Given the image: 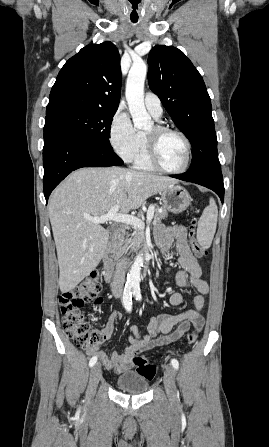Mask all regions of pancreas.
Masks as SVG:
<instances>
[{
	"mask_svg": "<svg viewBox=\"0 0 269 447\" xmlns=\"http://www.w3.org/2000/svg\"><path fill=\"white\" fill-rule=\"evenodd\" d=\"M158 208L159 206H155V222H161V220L167 218V210H165L164 206L161 208L162 212H158ZM138 216L141 218V216H143V212H140ZM132 235L133 237H129V239H127V237H122V239H120L117 247V257H122L123 253H126L129 247H131V249H137V247H140L144 239V231H140V229H138V231H133Z\"/></svg>",
	"mask_w": 269,
	"mask_h": 447,
	"instance_id": "1",
	"label": "pancreas"
}]
</instances>
